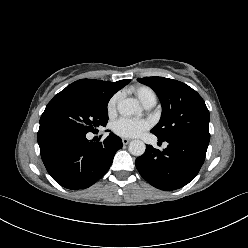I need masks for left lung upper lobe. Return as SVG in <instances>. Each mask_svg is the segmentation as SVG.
Masks as SVG:
<instances>
[{
    "mask_svg": "<svg viewBox=\"0 0 248 248\" xmlns=\"http://www.w3.org/2000/svg\"><path fill=\"white\" fill-rule=\"evenodd\" d=\"M137 80L151 87L161 101V119L151 130L158 139L166 140L180 134H209V111L195 90L180 81L164 77Z\"/></svg>",
    "mask_w": 248,
    "mask_h": 248,
    "instance_id": "5c2ea615",
    "label": "left lung upper lobe"
}]
</instances>
